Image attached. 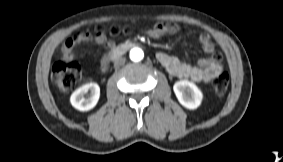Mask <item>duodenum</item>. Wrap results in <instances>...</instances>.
<instances>
[{
    "instance_id": "obj_1",
    "label": "duodenum",
    "mask_w": 283,
    "mask_h": 162,
    "mask_svg": "<svg viewBox=\"0 0 283 162\" xmlns=\"http://www.w3.org/2000/svg\"><path fill=\"white\" fill-rule=\"evenodd\" d=\"M134 46H136V44L133 43V42H124V43L117 46L116 51L109 52L108 55H110L112 57V60L116 59V58L122 56L123 54H125L129 49H131Z\"/></svg>"
}]
</instances>
